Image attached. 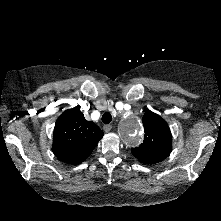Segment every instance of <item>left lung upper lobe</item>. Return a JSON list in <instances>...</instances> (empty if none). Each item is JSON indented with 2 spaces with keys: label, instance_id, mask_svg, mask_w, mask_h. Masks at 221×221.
Wrapping results in <instances>:
<instances>
[{
  "label": "left lung upper lobe",
  "instance_id": "1",
  "mask_svg": "<svg viewBox=\"0 0 221 221\" xmlns=\"http://www.w3.org/2000/svg\"><path fill=\"white\" fill-rule=\"evenodd\" d=\"M144 141L132 154L144 164H154L165 159L172 149L171 132L168 124L158 114L147 110L142 118Z\"/></svg>",
  "mask_w": 221,
  "mask_h": 221
}]
</instances>
